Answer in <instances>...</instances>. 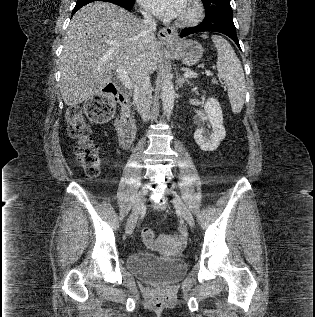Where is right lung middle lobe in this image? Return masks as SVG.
Segmentation results:
<instances>
[{
  "instance_id": "dd1d6c3e",
  "label": "right lung middle lobe",
  "mask_w": 315,
  "mask_h": 317,
  "mask_svg": "<svg viewBox=\"0 0 315 317\" xmlns=\"http://www.w3.org/2000/svg\"><path fill=\"white\" fill-rule=\"evenodd\" d=\"M82 1V0H77V2ZM128 1H134V0H128Z\"/></svg>"
}]
</instances>
